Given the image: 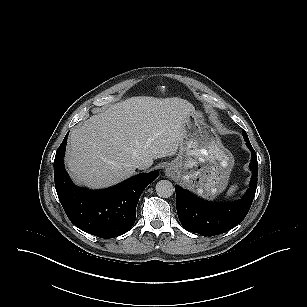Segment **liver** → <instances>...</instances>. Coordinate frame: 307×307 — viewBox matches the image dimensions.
<instances>
[{
  "mask_svg": "<svg viewBox=\"0 0 307 307\" xmlns=\"http://www.w3.org/2000/svg\"><path fill=\"white\" fill-rule=\"evenodd\" d=\"M194 106L181 98L132 97L70 132L66 163L78 184L107 188L135 174L136 161L174 155Z\"/></svg>",
  "mask_w": 307,
  "mask_h": 307,
  "instance_id": "obj_1",
  "label": "liver"
}]
</instances>
